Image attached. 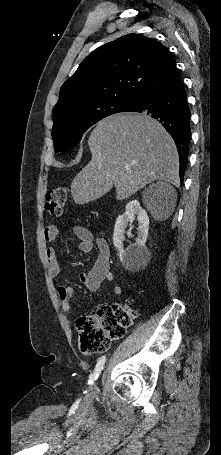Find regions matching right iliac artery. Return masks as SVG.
<instances>
[{
	"instance_id": "1",
	"label": "right iliac artery",
	"mask_w": 221,
	"mask_h": 455,
	"mask_svg": "<svg viewBox=\"0 0 221 455\" xmlns=\"http://www.w3.org/2000/svg\"><path fill=\"white\" fill-rule=\"evenodd\" d=\"M105 361H106V357L105 356H102L98 360L97 365H96L95 370H94V373L91 374L90 377H89L88 384H92L98 378V376L100 375L101 371L104 368Z\"/></svg>"
}]
</instances>
